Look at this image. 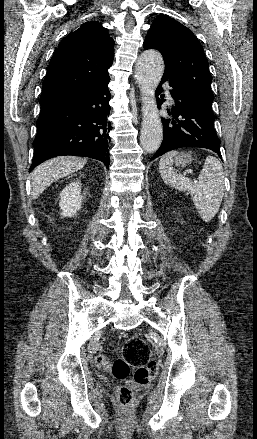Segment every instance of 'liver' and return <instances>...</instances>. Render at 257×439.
<instances>
[{
    "label": "liver",
    "mask_w": 257,
    "mask_h": 439,
    "mask_svg": "<svg viewBox=\"0 0 257 439\" xmlns=\"http://www.w3.org/2000/svg\"><path fill=\"white\" fill-rule=\"evenodd\" d=\"M85 163V159L74 156H60L42 163L31 175L32 198L37 199L53 182L81 169Z\"/></svg>",
    "instance_id": "6515ba94"
}]
</instances>
